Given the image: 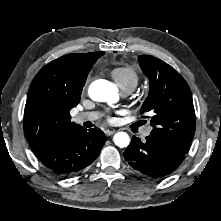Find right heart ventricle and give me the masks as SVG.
I'll return each instance as SVG.
<instances>
[{
	"mask_svg": "<svg viewBox=\"0 0 221 221\" xmlns=\"http://www.w3.org/2000/svg\"><path fill=\"white\" fill-rule=\"evenodd\" d=\"M111 75L122 91L132 92L139 83V74L131 66L115 67Z\"/></svg>",
	"mask_w": 221,
	"mask_h": 221,
	"instance_id": "1",
	"label": "right heart ventricle"
}]
</instances>
